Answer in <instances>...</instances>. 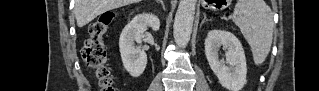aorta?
<instances>
[{"label": "aorta", "instance_id": "aorta-1", "mask_svg": "<svg viewBox=\"0 0 319 91\" xmlns=\"http://www.w3.org/2000/svg\"><path fill=\"white\" fill-rule=\"evenodd\" d=\"M196 0H180L175 15L173 36L177 46L185 47L192 33Z\"/></svg>", "mask_w": 319, "mask_h": 91}]
</instances>
